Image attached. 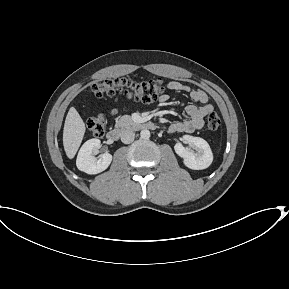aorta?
Returning <instances> with one entry per match:
<instances>
[{
  "instance_id": "aorta-1",
  "label": "aorta",
  "mask_w": 289,
  "mask_h": 289,
  "mask_svg": "<svg viewBox=\"0 0 289 289\" xmlns=\"http://www.w3.org/2000/svg\"><path fill=\"white\" fill-rule=\"evenodd\" d=\"M140 136L142 139H148L150 137V131L148 129H143L140 132Z\"/></svg>"
}]
</instances>
